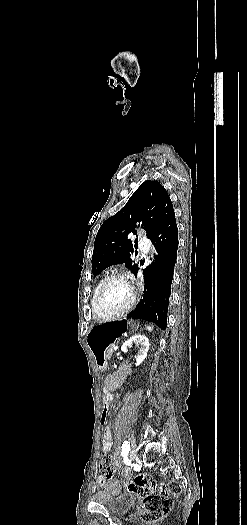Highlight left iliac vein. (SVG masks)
Masks as SVG:
<instances>
[{
    "instance_id": "obj_1",
    "label": "left iliac vein",
    "mask_w": 247,
    "mask_h": 525,
    "mask_svg": "<svg viewBox=\"0 0 247 525\" xmlns=\"http://www.w3.org/2000/svg\"><path fill=\"white\" fill-rule=\"evenodd\" d=\"M131 443H134V441L132 440ZM136 456H137V451L133 448V449L130 451V454H129V459H130V461L135 460Z\"/></svg>"
}]
</instances>
